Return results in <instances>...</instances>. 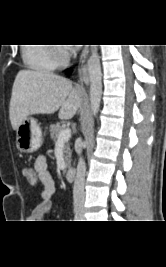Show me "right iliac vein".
I'll return each instance as SVG.
<instances>
[{
	"label": "right iliac vein",
	"mask_w": 166,
	"mask_h": 267,
	"mask_svg": "<svg viewBox=\"0 0 166 267\" xmlns=\"http://www.w3.org/2000/svg\"><path fill=\"white\" fill-rule=\"evenodd\" d=\"M78 214H79L80 216H82V215H83V212L81 211V212H79Z\"/></svg>",
	"instance_id": "1"
}]
</instances>
